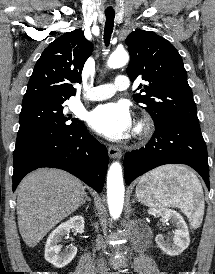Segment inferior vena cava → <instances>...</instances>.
<instances>
[{"label":"inferior vena cava","mask_w":215,"mask_h":274,"mask_svg":"<svg viewBox=\"0 0 215 274\" xmlns=\"http://www.w3.org/2000/svg\"><path fill=\"white\" fill-rule=\"evenodd\" d=\"M97 268H98L99 270L105 269V264H104V261H103L102 259H99Z\"/></svg>","instance_id":"inferior-vena-cava-1"}]
</instances>
